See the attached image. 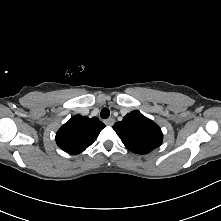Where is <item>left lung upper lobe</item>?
<instances>
[{"instance_id": "obj_1", "label": "left lung upper lobe", "mask_w": 221, "mask_h": 221, "mask_svg": "<svg viewBox=\"0 0 221 221\" xmlns=\"http://www.w3.org/2000/svg\"><path fill=\"white\" fill-rule=\"evenodd\" d=\"M113 129L130 151L146 154L159 147L163 140L160 127L139 111L128 113Z\"/></svg>"}]
</instances>
